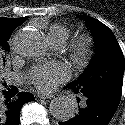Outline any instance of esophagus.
Instances as JSON below:
<instances>
[{"instance_id":"1","label":"esophagus","mask_w":125,"mask_h":125,"mask_svg":"<svg viewBox=\"0 0 125 125\" xmlns=\"http://www.w3.org/2000/svg\"><path fill=\"white\" fill-rule=\"evenodd\" d=\"M40 99H52L54 96L51 94H38Z\"/></svg>"}]
</instances>
